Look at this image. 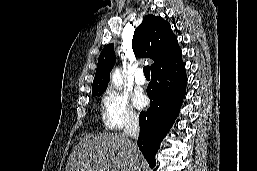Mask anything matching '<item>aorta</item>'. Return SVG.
I'll list each match as a JSON object with an SVG mask.
<instances>
[{
  "label": "aorta",
  "mask_w": 257,
  "mask_h": 171,
  "mask_svg": "<svg viewBox=\"0 0 257 171\" xmlns=\"http://www.w3.org/2000/svg\"><path fill=\"white\" fill-rule=\"evenodd\" d=\"M111 80L113 84L117 87L121 86L122 84V76H121V71L119 69H116L111 76Z\"/></svg>",
  "instance_id": "762f6f07"
}]
</instances>
